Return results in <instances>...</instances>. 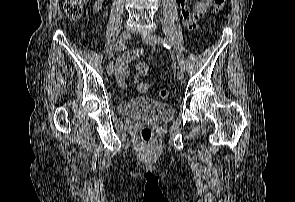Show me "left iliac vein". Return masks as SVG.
<instances>
[{"instance_id":"1","label":"left iliac vein","mask_w":295,"mask_h":202,"mask_svg":"<svg viewBox=\"0 0 295 202\" xmlns=\"http://www.w3.org/2000/svg\"><path fill=\"white\" fill-rule=\"evenodd\" d=\"M141 37H142L143 42H145L146 44H149L151 46H155L157 43L155 36L152 33H144V34H142ZM176 76L179 80H182L184 77L183 71L178 69L176 72Z\"/></svg>"}]
</instances>
